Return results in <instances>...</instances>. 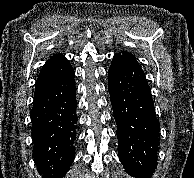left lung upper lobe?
<instances>
[{"mask_svg": "<svg viewBox=\"0 0 194 178\" xmlns=\"http://www.w3.org/2000/svg\"><path fill=\"white\" fill-rule=\"evenodd\" d=\"M116 56H120V57L126 58V59H128L130 61H133V62L139 64L137 62L135 56L133 54L129 53V52L123 51L121 53L116 54Z\"/></svg>", "mask_w": 194, "mask_h": 178, "instance_id": "obj_1", "label": "left lung upper lobe"}]
</instances>
